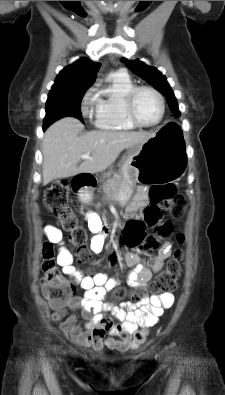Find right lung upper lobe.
I'll return each instance as SVG.
<instances>
[{"mask_svg": "<svg viewBox=\"0 0 225 395\" xmlns=\"http://www.w3.org/2000/svg\"><path fill=\"white\" fill-rule=\"evenodd\" d=\"M99 67L98 62L80 58L59 73L52 88H88L94 83Z\"/></svg>", "mask_w": 225, "mask_h": 395, "instance_id": "cb5924a9", "label": "right lung upper lobe"}]
</instances>
